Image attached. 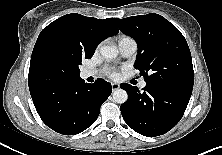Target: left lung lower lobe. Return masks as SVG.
I'll return each instance as SVG.
<instances>
[{
    "label": "left lung lower lobe",
    "mask_w": 222,
    "mask_h": 155,
    "mask_svg": "<svg viewBox=\"0 0 222 155\" xmlns=\"http://www.w3.org/2000/svg\"><path fill=\"white\" fill-rule=\"evenodd\" d=\"M121 88L128 93V100L120 107L124 121L147 137L171 130L182 118L191 96L151 85H146L143 92L127 83L121 84Z\"/></svg>",
    "instance_id": "left-lung-lower-lobe-1"
}]
</instances>
